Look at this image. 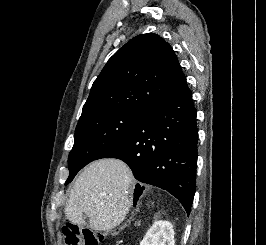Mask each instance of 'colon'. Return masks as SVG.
Segmentation results:
<instances>
[{
  "mask_svg": "<svg viewBox=\"0 0 266 245\" xmlns=\"http://www.w3.org/2000/svg\"><path fill=\"white\" fill-rule=\"evenodd\" d=\"M61 237L65 245H101L105 235L69 222L62 228Z\"/></svg>",
  "mask_w": 266,
  "mask_h": 245,
  "instance_id": "obj_1",
  "label": "colon"
}]
</instances>
